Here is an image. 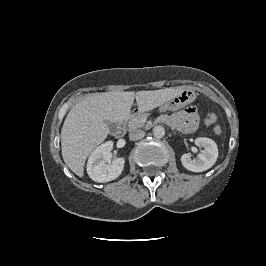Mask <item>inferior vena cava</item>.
<instances>
[{"instance_id":"1","label":"inferior vena cava","mask_w":266,"mask_h":266,"mask_svg":"<svg viewBox=\"0 0 266 266\" xmlns=\"http://www.w3.org/2000/svg\"><path fill=\"white\" fill-rule=\"evenodd\" d=\"M144 136L145 132L143 130H133L129 133V138L132 141L142 139Z\"/></svg>"}]
</instances>
